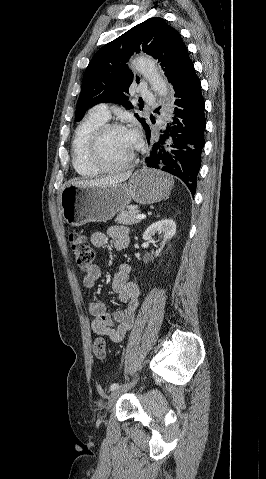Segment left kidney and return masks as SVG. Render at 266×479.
Returning <instances> with one entry per match:
<instances>
[{"instance_id":"5707ae66","label":"left kidney","mask_w":266,"mask_h":479,"mask_svg":"<svg viewBox=\"0 0 266 479\" xmlns=\"http://www.w3.org/2000/svg\"><path fill=\"white\" fill-rule=\"evenodd\" d=\"M176 233V224L171 219L159 220L151 224L144 232L143 239L145 241L151 242L152 237L156 234H163V244L169 239H171Z\"/></svg>"}]
</instances>
